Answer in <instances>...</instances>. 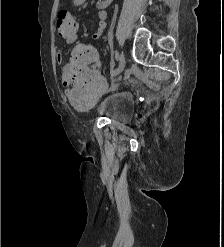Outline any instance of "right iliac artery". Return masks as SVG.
I'll return each instance as SVG.
<instances>
[{"mask_svg": "<svg viewBox=\"0 0 224 247\" xmlns=\"http://www.w3.org/2000/svg\"><path fill=\"white\" fill-rule=\"evenodd\" d=\"M118 74V70L117 69H115V70H113L112 72H111V76H115V75H117Z\"/></svg>", "mask_w": 224, "mask_h": 247, "instance_id": "right-iliac-artery-1", "label": "right iliac artery"}]
</instances>
